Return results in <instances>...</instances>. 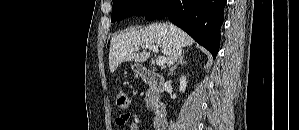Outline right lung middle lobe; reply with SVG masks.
Returning <instances> with one entry per match:
<instances>
[{
	"label": "right lung middle lobe",
	"mask_w": 299,
	"mask_h": 130,
	"mask_svg": "<svg viewBox=\"0 0 299 130\" xmlns=\"http://www.w3.org/2000/svg\"><path fill=\"white\" fill-rule=\"evenodd\" d=\"M158 0H114L111 22L125 19L126 17L144 16Z\"/></svg>",
	"instance_id": "right-lung-middle-lobe-1"
}]
</instances>
